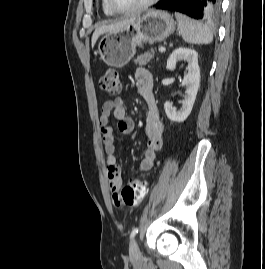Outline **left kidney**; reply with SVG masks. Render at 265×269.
<instances>
[{
	"mask_svg": "<svg viewBox=\"0 0 265 269\" xmlns=\"http://www.w3.org/2000/svg\"><path fill=\"white\" fill-rule=\"evenodd\" d=\"M177 61H185L187 65V74L185 75L182 85L186 86L185 96L182 101V107L177 111L166 101L164 109L167 117L173 122H183L187 119L192 111L196 95L199 89L200 69L198 65V54L195 50L179 47L175 49L167 60L166 69L175 68Z\"/></svg>",
	"mask_w": 265,
	"mask_h": 269,
	"instance_id": "1",
	"label": "left kidney"
}]
</instances>
